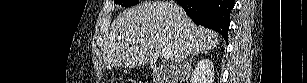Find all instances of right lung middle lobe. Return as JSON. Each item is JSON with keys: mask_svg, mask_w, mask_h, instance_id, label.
<instances>
[{"mask_svg": "<svg viewBox=\"0 0 307 83\" xmlns=\"http://www.w3.org/2000/svg\"><path fill=\"white\" fill-rule=\"evenodd\" d=\"M139 2V0H115L116 4H119L124 7H128L130 5H135Z\"/></svg>", "mask_w": 307, "mask_h": 83, "instance_id": "dd1d6c3e", "label": "right lung middle lobe"}]
</instances>
